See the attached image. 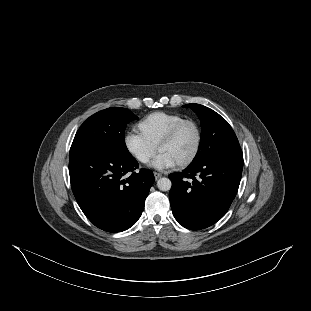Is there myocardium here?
Instances as JSON below:
<instances>
[{
    "instance_id": "obj_1",
    "label": "myocardium",
    "mask_w": 311,
    "mask_h": 311,
    "mask_svg": "<svg viewBox=\"0 0 311 311\" xmlns=\"http://www.w3.org/2000/svg\"><path fill=\"white\" fill-rule=\"evenodd\" d=\"M194 122L197 126L198 129V143L196 146V149L193 153V155L188 158L187 160L181 162L180 164H178L181 168H186L189 167L190 165H192L200 156L201 152H202V148H203V144H204V138H205V133H204V127L201 123V121L196 118V117H185L182 118L179 122H177L164 136L163 138L159 141L158 145H157V151L159 152L160 149L173 142L175 140V138L177 137L178 133L180 132L181 128L188 122Z\"/></svg>"
}]
</instances>
